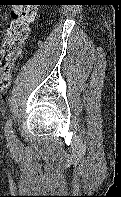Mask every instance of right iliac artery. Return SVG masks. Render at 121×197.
<instances>
[{
    "label": "right iliac artery",
    "instance_id": "1",
    "mask_svg": "<svg viewBox=\"0 0 121 197\" xmlns=\"http://www.w3.org/2000/svg\"><path fill=\"white\" fill-rule=\"evenodd\" d=\"M5 135L8 141V144L11 146L14 143V132L12 129V120L9 119L5 126Z\"/></svg>",
    "mask_w": 121,
    "mask_h": 197
}]
</instances>
